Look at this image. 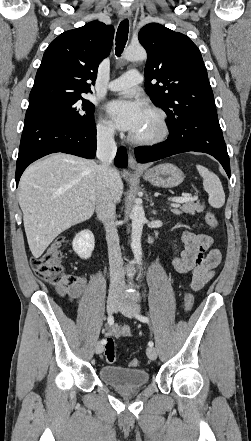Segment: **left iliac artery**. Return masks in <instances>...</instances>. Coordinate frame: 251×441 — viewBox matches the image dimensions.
I'll return each mask as SVG.
<instances>
[{"label":"left iliac artery","instance_id":"44dca946","mask_svg":"<svg viewBox=\"0 0 251 441\" xmlns=\"http://www.w3.org/2000/svg\"><path fill=\"white\" fill-rule=\"evenodd\" d=\"M135 316H136V318H137L139 321H141V322H144V323H148V322H149V318L146 317V316H143V315H140V314H135ZM148 345H149L150 347H152V346L154 345L153 341H149V342H148Z\"/></svg>","mask_w":251,"mask_h":441}]
</instances>
